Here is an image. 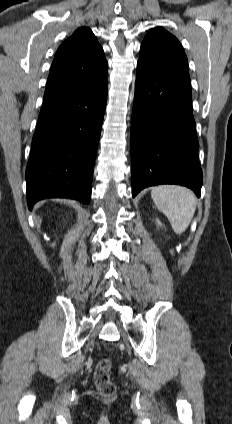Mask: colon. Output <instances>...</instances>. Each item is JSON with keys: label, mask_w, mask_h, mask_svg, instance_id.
Listing matches in <instances>:
<instances>
[{"label": "colon", "mask_w": 232, "mask_h": 424, "mask_svg": "<svg viewBox=\"0 0 232 424\" xmlns=\"http://www.w3.org/2000/svg\"><path fill=\"white\" fill-rule=\"evenodd\" d=\"M111 369L112 361L108 358L99 360L95 369L94 382L96 388L105 397H112L116 393V385L110 377Z\"/></svg>", "instance_id": "1"}]
</instances>
